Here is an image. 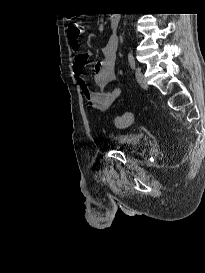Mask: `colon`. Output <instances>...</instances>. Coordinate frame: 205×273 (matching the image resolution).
I'll return each instance as SVG.
<instances>
[{
	"mask_svg": "<svg viewBox=\"0 0 205 273\" xmlns=\"http://www.w3.org/2000/svg\"><path fill=\"white\" fill-rule=\"evenodd\" d=\"M81 32H82V26L80 24L69 25V35H79ZM132 122H133V115L130 112H126L115 119V124L118 127L130 126Z\"/></svg>",
	"mask_w": 205,
	"mask_h": 273,
	"instance_id": "1",
	"label": "colon"
}]
</instances>
